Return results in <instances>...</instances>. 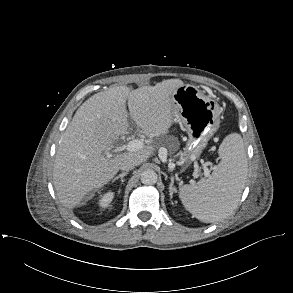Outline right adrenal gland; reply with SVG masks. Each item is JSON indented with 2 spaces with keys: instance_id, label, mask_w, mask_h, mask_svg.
Returning a JSON list of instances; mask_svg holds the SVG:
<instances>
[{
  "instance_id": "obj_1",
  "label": "right adrenal gland",
  "mask_w": 293,
  "mask_h": 293,
  "mask_svg": "<svg viewBox=\"0 0 293 293\" xmlns=\"http://www.w3.org/2000/svg\"><path fill=\"white\" fill-rule=\"evenodd\" d=\"M127 174H128L127 172H124V173L118 175L117 177H115V178L112 180V183L115 182V181L118 180V179H121V182H122V184H123V183H124V179H123V178H124Z\"/></svg>"
}]
</instances>
